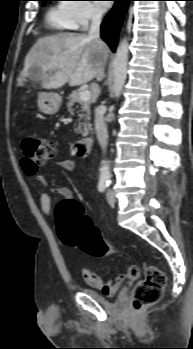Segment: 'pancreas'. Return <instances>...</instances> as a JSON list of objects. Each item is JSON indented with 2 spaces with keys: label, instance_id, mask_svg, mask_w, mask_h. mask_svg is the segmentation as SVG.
Masks as SVG:
<instances>
[{
  "label": "pancreas",
  "instance_id": "obj_1",
  "mask_svg": "<svg viewBox=\"0 0 193 349\" xmlns=\"http://www.w3.org/2000/svg\"><path fill=\"white\" fill-rule=\"evenodd\" d=\"M67 99V109L72 115L75 111L73 108L74 103H79L81 105V113L78 116L80 120H83V122L78 125V129L75 131L83 136H87L92 126L90 123V101L81 100L79 91H73Z\"/></svg>",
  "mask_w": 193,
  "mask_h": 349
}]
</instances>
